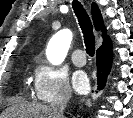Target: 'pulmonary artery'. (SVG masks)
Returning a JSON list of instances; mask_svg holds the SVG:
<instances>
[{
    "label": "pulmonary artery",
    "instance_id": "1",
    "mask_svg": "<svg viewBox=\"0 0 133 118\" xmlns=\"http://www.w3.org/2000/svg\"><path fill=\"white\" fill-rule=\"evenodd\" d=\"M71 59L76 66H83L86 63L85 52L82 49H76L73 51Z\"/></svg>",
    "mask_w": 133,
    "mask_h": 118
}]
</instances>
